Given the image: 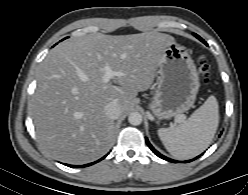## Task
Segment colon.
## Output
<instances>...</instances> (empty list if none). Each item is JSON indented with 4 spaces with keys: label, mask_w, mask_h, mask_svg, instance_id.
Wrapping results in <instances>:
<instances>
[{
    "label": "colon",
    "mask_w": 248,
    "mask_h": 195,
    "mask_svg": "<svg viewBox=\"0 0 248 195\" xmlns=\"http://www.w3.org/2000/svg\"><path fill=\"white\" fill-rule=\"evenodd\" d=\"M199 70L206 84L211 82V67L205 59L199 60Z\"/></svg>",
    "instance_id": "obj_1"
}]
</instances>
